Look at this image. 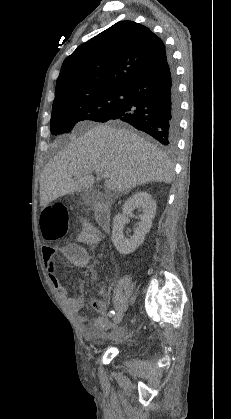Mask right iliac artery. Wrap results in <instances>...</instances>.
<instances>
[{"instance_id": "obj_1", "label": "right iliac artery", "mask_w": 231, "mask_h": 419, "mask_svg": "<svg viewBox=\"0 0 231 419\" xmlns=\"http://www.w3.org/2000/svg\"><path fill=\"white\" fill-rule=\"evenodd\" d=\"M114 314H115V311H110V312L108 313L109 317H112Z\"/></svg>"}]
</instances>
